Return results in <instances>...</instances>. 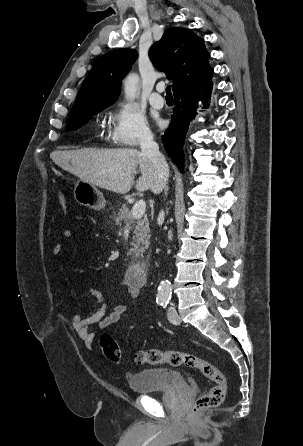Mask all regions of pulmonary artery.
<instances>
[{"mask_svg":"<svg viewBox=\"0 0 303 446\" xmlns=\"http://www.w3.org/2000/svg\"><path fill=\"white\" fill-rule=\"evenodd\" d=\"M164 86L158 85L155 91L150 95L149 102L151 106L154 108H162L164 106V98L161 96V92H163Z\"/></svg>","mask_w":303,"mask_h":446,"instance_id":"pulmonary-artery-1","label":"pulmonary artery"}]
</instances>
